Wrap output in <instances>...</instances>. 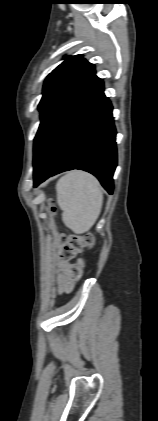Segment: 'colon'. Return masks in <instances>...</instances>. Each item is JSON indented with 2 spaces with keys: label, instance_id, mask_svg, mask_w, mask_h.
I'll return each mask as SVG.
<instances>
[{
  "label": "colon",
  "instance_id": "1",
  "mask_svg": "<svg viewBox=\"0 0 158 421\" xmlns=\"http://www.w3.org/2000/svg\"><path fill=\"white\" fill-rule=\"evenodd\" d=\"M58 242L61 245L60 258L63 261H70L82 249L91 247L94 243V239L92 236L79 237L59 235ZM84 266V260H79L77 263L69 266V280L66 283L67 289H71L74 283L82 277Z\"/></svg>",
  "mask_w": 158,
  "mask_h": 421
}]
</instances>
